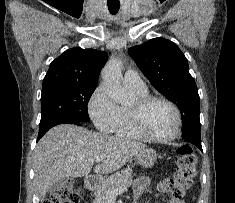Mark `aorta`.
Masks as SVG:
<instances>
[{
	"mask_svg": "<svg viewBox=\"0 0 235 203\" xmlns=\"http://www.w3.org/2000/svg\"><path fill=\"white\" fill-rule=\"evenodd\" d=\"M121 61L111 59L102 70V79L106 87L107 94L116 102L124 103L129 99V94L121 85Z\"/></svg>",
	"mask_w": 235,
	"mask_h": 203,
	"instance_id": "obj_1",
	"label": "aorta"
}]
</instances>
